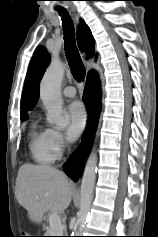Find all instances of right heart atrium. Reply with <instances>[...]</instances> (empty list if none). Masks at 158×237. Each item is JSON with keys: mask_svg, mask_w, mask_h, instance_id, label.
Returning a JSON list of instances; mask_svg holds the SVG:
<instances>
[{"mask_svg": "<svg viewBox=\"0 0 158 237\" xmlns=\"http://www.w3.org/2000/svg\"><path fill=\"white\" fill-rule=\"evenodd\" d=\"M50 146L53 153L58 157L65 148V140L62 133L56 129H49Z\"/></svg>", "mask_w": 158, "mask_h": 237, "instance_id": "obj_1", "label": "right heart atrium"}]
</instances>
